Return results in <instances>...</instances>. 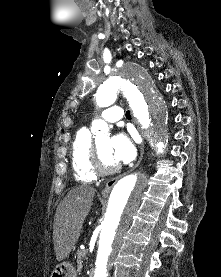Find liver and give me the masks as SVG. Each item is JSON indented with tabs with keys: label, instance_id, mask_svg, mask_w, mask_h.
I'll list each match as a JSON object with an SVG mask.
<instances>
[{
	"label": "liver",
	"instance_id": "6515ba94",
	"mask_svg": "<svg viewBox=\"0 0 221 277\" xmlns=\"http://www.w3.org/2000/svg\"><path fill=\"white\" fill-rule=\"evenodd\" d=\"M96 189L82 185L70 190L56 209L53 225V242L56 259L62 261L73 250L80 237Z\"/></svg>",
	"mask_w": 221,
	"mask_h": 277
}]
</instances>
